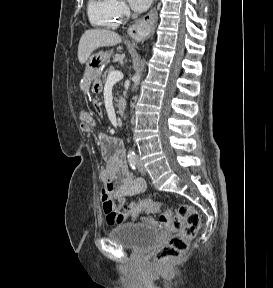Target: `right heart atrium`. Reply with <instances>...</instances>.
<instances>
[{
  "label": "right heart atrium",
  "mask_w": 273,
  "mask_h": 288,
  "mask_svg": "<svg viewBox=\"0 0 273 288\" xmlns=\"http://www.w3.org/2000/svg\"><path fill=\"white\" fill-rule=\"evenodd\" d=\"M114 6L121 18H125L129 15V9L124 0H114Z\"/></svg>",
  "instance_id": "right-heart-atrium-1"
}]
</instances>
